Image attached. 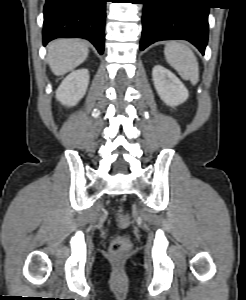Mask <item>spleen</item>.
<instances>
[{
	"label": "spleen",
	"mask_w": 246,
	"mask_h": 300,
	"mask_svg": "<svg viewBox=\"0 0 246 300\" xmlns=\"http://www.w3.org/2000/svg\"><path fill=\"white\" fill-rule=\"evenodd\" d=\"M164 54L167 62L185 80L193 85L199 81V66L193 51L184 43L171 41L166 44Z\"/></svg>",
	"instance_id": "spleen-1"
}]
</instances>
